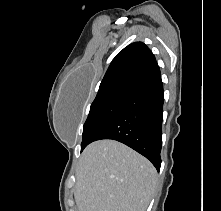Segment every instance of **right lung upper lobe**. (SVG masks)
<instances>
[{
  "mask_svg": "<svg viewBox=\"0 0 221 211\" xmlns=\"http://www.w3.org/2000/svg\"><path fill=\"white\" fill-rule=\"evenodd\" d=\"M159 79L161 74L153 53L144 43L135 42L113 59L97 95L119 88L137 90Z\"/></svg>",
  "mask_w": 221,
  "mask_h": 211,
  "instance_id": "right-lung-upper-lobe-1",
  "label": "right lung upper lobe"
}]
</instances>
